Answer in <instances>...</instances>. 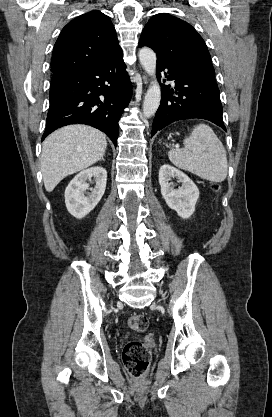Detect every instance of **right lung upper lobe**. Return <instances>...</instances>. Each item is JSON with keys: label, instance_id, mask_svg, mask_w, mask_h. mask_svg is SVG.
I'll return each instance as SVG.
<instances>
[{"label": "right lung upper lobe", "instance_id": "1", "mask_svg": "<svg viewBox=\"0 0 272 417\" xmlns=\"http://www.w3.org/2000/svg\"><path fill=\"white\" fill-rule=\"evenodd\" d=\"M120 49L110 18L100 11L83 14L68 23L53 49L52 73L86 69L100 64Z\"/></svg>", "mask_w": 272, "mask_h": 417}]
</instances>
